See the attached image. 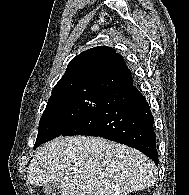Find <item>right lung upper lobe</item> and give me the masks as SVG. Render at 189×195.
<instances>
[{"label":"right lung upper lobe","instance_id":"1","mask_svg":"<svg viewBox=\"0 0 189 195\" xmlns=\"http://www.w3.org/2000/svg\"><path fill=\"white\" fill-rule=\"evenodd\" d=\"M133 83L122 56L108 46L88 49L73 58L52 94L89 89L109 94Z\"/></svg>","mask_w":189,"mask_h":195}]
</instances>
